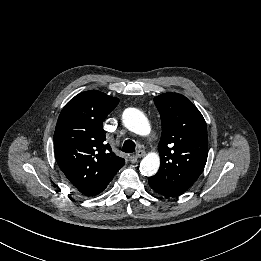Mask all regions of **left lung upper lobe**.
Returning <instances> with one entry per match:
<instances>
[{"instance_id":"1","label":"left lung upper lobe","mask_w":261,"mask_h":261,"mask_svg":"<svg viewBox=\"0 0 261 261\" xmlns=\"http://www.w3.org/2000/svg\"><path fill=\"white\" fill-rule=\"evenodd\" d=\"M162 135L158 145L160 170L151 180L173 196L187 191L202 173L208 155L205 120L183 95L164 93L154 98Z\"/></svg>"}]
</instances>
